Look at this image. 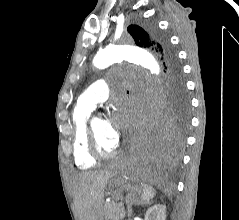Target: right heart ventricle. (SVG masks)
I'll return each instance as SVG.
<instances>
[{"instance_id":"1","label":"right heart ventricle","mask_w":239,"mask_h":220,"mask_svg":"<svg viewBox=\"0 0 239 220\" xmlns=\"http://www.w3.org/2000/svg\"><path fill=\"white\" fill-rule=\"evenodd\" d=\"M92 108L77 103L72 113L73 158L79 168L88 169L96 164L87 147V124Z\"/></svg>"}]
</instances>
